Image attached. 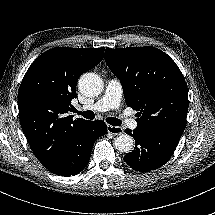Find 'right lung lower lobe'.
<instances>
[{
	"label": "right lung lower lobe",
	"mask_w": 215,
	"mask_h": 215,
	"mask_svg": "<svg viewBox=\"0 0 215 215\" xmlns=\"http://www.w3.org/2000/svg\"><path fill=\"white\" fill-rule=\"evenodd\" d=\"M106 132L107 126L100 120L79 125L69 135L58 158L47 169L66 177L78 174L87 166L95 140Z\"/></svg>",
	"instance_id": "98d812e1"
}]
</instances>
